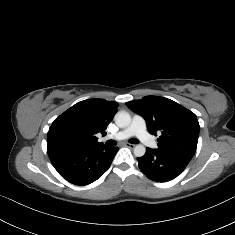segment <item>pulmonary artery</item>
Returning a JSON list of instances; mask_svg holds the SVG:
<instances>
[{
    "instance_id": "e3ab8cb5",
    "label": "pulmonary artery",
    "mask_w": 235,
    "mask_h": 235,
    "mask_svg": "<svg viewBox=\"0 0 235 235\" xmlns=\"http://www.w3.org/2000/svg\"><path fill=\"white\" fill-rule=\"evenodd\" d=\"M132 136H137L140 139L145 140L147 145L150 147L155 146V144L150 140V135L147 132L145 120L139 115H134L130 124L125 129L108 134L103 139L121 141L126 140Z\"/></svg>"
}]
</instances>
